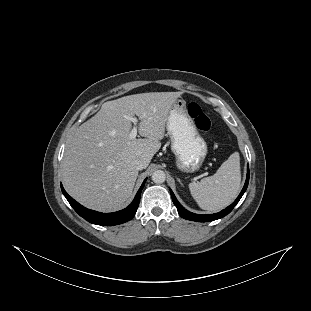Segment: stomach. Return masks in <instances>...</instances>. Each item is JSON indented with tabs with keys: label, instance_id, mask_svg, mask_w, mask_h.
I'll use <instances>...</instances> for the list:
<instances>
[{
	"label": "stomach",
	"instance_id": "1",
	"mask_svg": "<svg viewBox=\"0 0 311 311\" xmlns=\"http://www.w3.org/2000/svg\"><path fill=\"white\" fill-rule=\"evenodd\" d=\"M166 129L177 170L183 174L197 172L207 156L208 146L190 116L184 100L178 99L173 104Z\"/></svg>",
	"mask_w": 311,
	"mask_h": 311
}]
</instances>
